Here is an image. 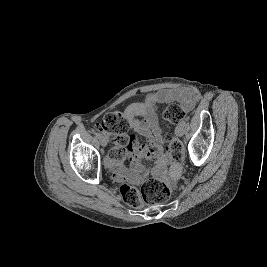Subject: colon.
Masks as SVG:
<instances>
[{"instance_id": "obj_1", "label": "colon", "mask_w": 267, "mask_h": 267, "mask_svg": "<svg viewBox=\"0 0 267 267\" xmlns=\"http://www.w3.org/2000/svg\"><path fill=\"white\" fill-rule=\"evenodd\" d=\"M187 111L188 109L183 105L170 104L162 113L165 148L175 160L182 158L183 146L181 141L170 133L169 129L170 126L182 121L186 117ZM101 128L112 136L113 148L109 152L110 161L113 163L122 161L132 145V139L128 136V121L120 113L110 112L103 117ZM120 193L130 206L138 205L141 199L145 202L164 203L170 199L172 187L165 180L150 179L141 192L130 184L123 183Z\"/></svg>"}]
</instances>
